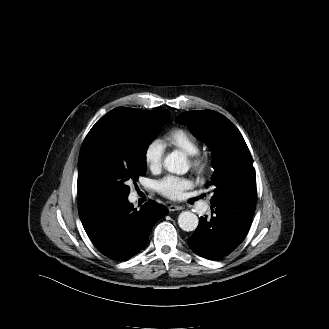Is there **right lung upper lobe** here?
<instances>
[{"label": "right lung upper lobe", "instance_id": "obj_1", "mask_svg": "<svg viewBox=\"0 0 329 329\" xmlns=\"http://www.w3.org/2000/svg\"><path fill=\"white\" fill-rule=\"evenodd\" d=\"M121 108H124L127 111H130L141 122H148L155 114L165 111V110H163V111H143V110H138V109H134V108H126V107H121ZM94 135H95V131H94V129H91L89 131V133L87 134L82 147H84L94 137Z\"/></svg>", "mask_w": 329, "mask_h": 329}]
</instances>
